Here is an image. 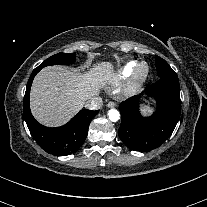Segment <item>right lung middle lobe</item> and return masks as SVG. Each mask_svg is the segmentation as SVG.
<instances>
[{
  "label": "right lung middle lobe",
  "instance_id": "dd1d6c3e",
  "mask_svg": "<svg viewBox=\"0 0 207 207\" xmlns=\"http://www.w3.org/2000/svg\"><path fill=\"white\" fill-rule=\"evenodd\" d=\"M75 62V54L74 53H58L56 55L51 56L46 59L42 64H40L37 68L42 69L45 66L56 65V64H73Z\"/></svg>",
  "mask_w": 207,
  "mask_h": 207
}]
</instances>
